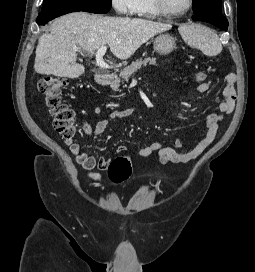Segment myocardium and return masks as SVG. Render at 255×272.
Masks as SVG:
<instances>
[{"instance_id": "myocardium-1", "label": "myocardium", "mask_w": 255, "mask_h": 272, "mask_svg": "<svg viewBox=\"0 0 255 272\" xmlns=\"http://www.w3.org/2000/svg\"><path fill=\"white\" fill-rule=\"evenodd\" d=\"M152 1L156 11L161 16L167 17V18H177V17L184 16L191 10L193 6V0H188V5L184 10L179 12H171L166 8L164 0H152Z\"/></svg>"}]
</instances>
